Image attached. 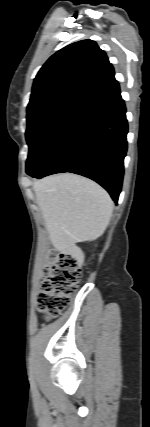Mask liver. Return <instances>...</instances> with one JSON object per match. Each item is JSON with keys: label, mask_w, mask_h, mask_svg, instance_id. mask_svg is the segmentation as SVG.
<instances>
[{"label": "liver", "mask_w": 150, "mask_h": 427, "mask_svg": "<svg viewBox=\"0 0 150 427\" xmlns=\"http://www.w3.org/2000/svg\"><path fill=\"white\" fill-rule=\"evenodd\" d=\"M33 188L56 250L75 253L76 243L95 240L106 230L114 204L92 180L65 173L35 181Z\"/></svg>", "instance_id": "obj_1"}]
</instances>
